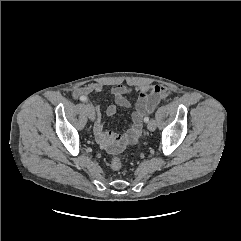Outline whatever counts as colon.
Returning <instances> with one entry per match:
<instances>
[{
	"label": "colon",
	"mask_w": 241,
	"mask_h": 241,
	"mask_svg": "<svg viewBox=\"0 0 241 241\" xmlns=\"http://www.w3.org/2000/svg\"><path fill=\"white\" fill-rule=\"evenodd\" d=\"M112 170L118 171L122 168V160L119 157H113L110 162Z\"/></svg>",
	"instance_id": "colon-1"
}]
</instances>
